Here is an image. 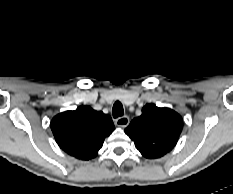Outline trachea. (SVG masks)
Masks as SVG:
<instances>
[{"label":"trachea","mask_w":233,"mask_h":194,"mask_svg":"<svg viewBox=\"0 0 233 194\" xmlns=\"http://www.w3.org/2000/svg\"><path fill=\"white\" fill-rule=\"evenodd\" d=\"M112 114L114 118L121 117L124 114L123 105L121 102L116 101L113 105Z\"/></svg>","instance_id":"trachea-1"}]
</instances>
